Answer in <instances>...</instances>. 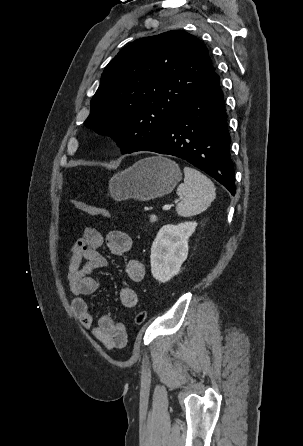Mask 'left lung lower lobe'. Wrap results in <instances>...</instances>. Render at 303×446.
<instances>
[{
	"mask_svg": "<svg viewBox=\"0 0 303 446\" xmlns=\"http://www.w3.org/2000/svg\"><path fill=\"white\" fill-rule=\"evenodd\" d=\"M136 151L182 158L235 194L227 113L219 76L215 74L186 100L173 123ZM135 151V152H136Z\"/></svg>",
	"mask_w": 303,
	"mask_h": 446,
	"instance_id": "left-lung-lower-lobe-1",
	"label": "left lung lower lobe"
}]
</instances>
